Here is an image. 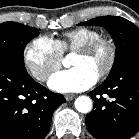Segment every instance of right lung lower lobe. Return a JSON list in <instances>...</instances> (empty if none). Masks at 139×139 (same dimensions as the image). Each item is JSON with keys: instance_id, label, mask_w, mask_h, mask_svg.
I'll use <instances>...</instances> for the list:
<instances>
[{"instance_id": "obj_1", "label": "right lung lower lobe", "mask_w": 139, "mask_h": 139, "mask_svg": "<svg viewBox=\"0 0 139 139\" xmlns=\"http://www.w3.org/2000/svg\"><path fill=\"white\" fill-rule=\"evenodd\" d=\"M64 102L25 67L0 59V139H44L53 112Z\"/></svg>"}]
</instances>
